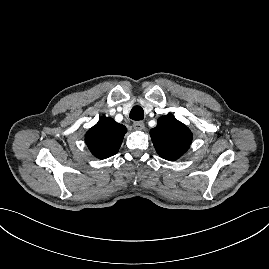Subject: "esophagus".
Segmentation results:
<instances>
[{"instance_id": "obj_1", "label": "esophagus", "mask_w": 269, "mask_h": 269, "mask_svg": "<svg viewBox=\"0 0 269 269\" xmlns=\"http://www.w3.org/2000/svg\"><path fill=\"white\" fill-rule=\"evenodd\" d=\"M144 127H145V124H144L143 121H135V122L133 123V128H134L135 130H143Z\"/></svg>"}]
</instances>
